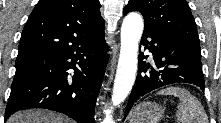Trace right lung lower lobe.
Wrapping results in <instances>:
<instances>
[{"mask_svg": "<svg viewBox=\"0 0 221 123\" xmlns=\"http://www.w3.org/2000/svg\"><path fill=\"white\" fill-rule=\"evenodd\" d=\"M107 51L103 34L58 51L17 57L5 120L17 110L45 108L78 123H94ZM69 69L74 74H68Z\"/></svg>", "mask_w": 221, "mask_h": 123, "instance_id": "1", "label": "right lung lower lobe"}]
</instances>
